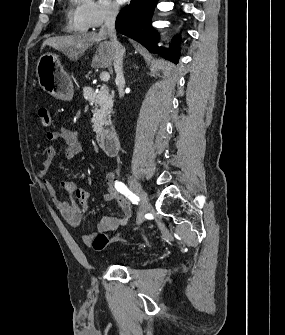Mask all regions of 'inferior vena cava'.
<instances>
[{"mask_svg": "<svg viewBox=\"0 0 285 335\" xmlns=\"http://www.w3.org/2000/svg\"><path fill=\"white\" fill-rule=\"evenodd\" d=\"M119 6L115 4V2H111V0H107V4L105 6V22L104 26H101L99 34H103V36H109L111 38L112 48L115 50V56L113 60V66L116 72V84L118 86V92L120 98L124 96V86L125 80L123 76V58L125 54V48L121 46L120 42H117V36L115 34V20L118 14Z\"/></svg>", "mask_w": 285, "mask_h": 335, "instance_id": "1", "label": "inferior vena cava"}]
</instances>
